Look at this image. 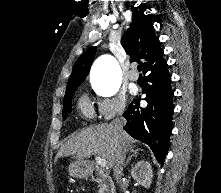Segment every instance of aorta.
I'll list each match as a JSON object with an SVG mask.
<instances>
[{
	"label": "aorta",
	"mask_w": 221,
	"mask_h": 193,
	"mask_svg": "<svg viewBox=\"0 0 221 193\" xmlns=\"http://www.w3.org/2000/svg\"><path fill=\"white\" fill-rule=\"evenodd\" d=\"M96 91L106 97L117 93L121 83V70L116 59L110 55L101 56L93 65Z\"/></svg>",
	"instance_id": "obj_1"
}]
</instances>
